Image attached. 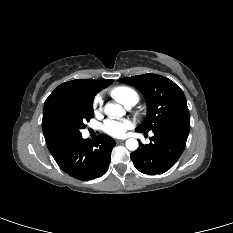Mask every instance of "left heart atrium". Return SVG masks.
<instances>
[{
    "label": "left heart atrium",
    "instance_id": "obj_1",
    "mask_svg": "<svg viewBox=\"0 0 233 233\" xmlns=\"http://www.w3.org/2000/svg\"><path fill=\"white\" fill-rule=\"evenodd\" d=\"M133 127L131 120H107L103 125V130L113 137H123L127 130Z\"/></svg>",
    "mask_w": 233,
    "mask_h": 233
}]
</instances>
